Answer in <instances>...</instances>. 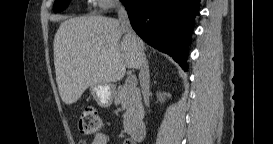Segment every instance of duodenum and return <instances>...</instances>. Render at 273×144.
<instances>
[{
    "mask_svg": "<svg viewBox=\"0 0 273 144\" xmlns=\"http://www.w3.org/2000/svg\"><path fill=\"white\" fill-rule=\"evenodd\" d=\"M131 138L135 142H141L145 139L147 131L143 123H137L129 127L128 129Z\"/></svg>",
    "mask_w": 273,
    "mask_h": 144,
    "instance_id": "obj_1",
    "label": "duodenum"
}]
</instances>
